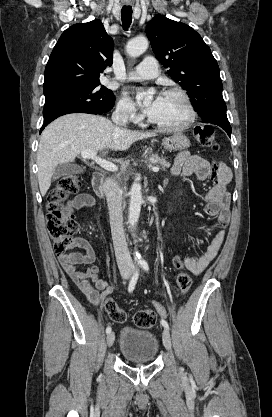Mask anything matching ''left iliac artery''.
I'll return each instance as SVG.
<instances>
[{"instance_id":"obj_1","label":"left iliac artery","mask_w":272,"mask_h":417,"mask_svg":"<svg viewBox=\"0 0 272 417\" xmlns=\"http://www.w3.org/2000/svg\"><path fill=\"white\" fill-rule=\"evenodd\" d=\"M140 265H141V267H142L145 271H148V270H149V265H148V263H147L145 260H141V261H140ZM161 324H162V326H164L166 329H169V325H168V323H167V321H166V320L162 319V320H161Z\"/></svg>"}]
</instances>
